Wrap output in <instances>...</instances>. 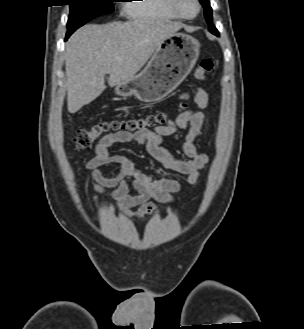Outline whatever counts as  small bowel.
I'll return each mask as SVG.
<instances>
[{
    "mask_svg": "<svg viewBox=\"0 0 304 329\" xmlns=\"http://www.w3.org/2000/svg\"><path fill=\"white\" fill-rule=\"evenodd\" d=\"M190 95L183 93L180 99H188ZM198 111L187 110L175 119L148 134L116 132L103 137L95 147V154L85 168L91 172L95 201L105 197L115 202L122 214L127 218L144 219L154 215L157 210L151 200L163 204L173 202V195L182 188V183L172 178L154 179L146 170L139 168L132 160L120 154H111L110 147L120 143H133L145 146L155 163L167 170L187 176V184H195L199 171L207 164L208 156L200 153L195 140L201 134L205 122L202 112L208 105L207 93L199 88L193 95ZM186 130L182 144L187 159L176 158L164 146V138L177 135ZM107 164L118 165L117 173L112 177L103 175L98 167ZM113 187V191L107 188ZM131 189L134 192H131ZM136 208V209H135Z\"/></svg>",
    "mask_w": 304,
    "mask_h": 329,
    "instance_id": "c3829d8e",
    "label": "small bowel"
}]
</instances>
